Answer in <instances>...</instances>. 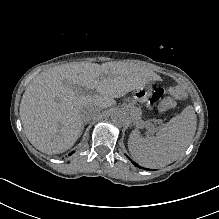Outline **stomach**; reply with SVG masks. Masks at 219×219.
<instances>
[{
	"mask_svg": "<svg viewBox=\"0 0 219 219\" xmlns=\"http://www.w3.org/2000/svg\"><path fill=\"white\" fill-rule=\"evenodd\" d=\"M152 92V87L150 85H142L134 90V97L139 101L146 100Z\"/></svg>",
	"mask_w": 219,
	"mask_h": 219,
	"instance_id": "stomach-1",
	"label": "stomach"
}]
</instances>
